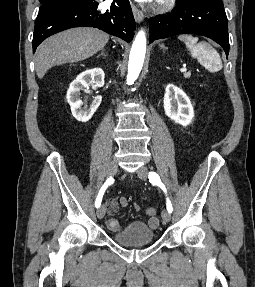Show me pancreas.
Wrapping results in <instances>:
<instances>
[{"label": "pancreas", "mask_w": 255, "mask_h": 287, "mask_svg": "<svg viewBox=\"0 0 255 287\" xmlns=\"http://www.w3.org/2000/svg\"><path fill=\"white\" fill-rule=\"evenodd\" d=\"M184 78H190V72H184Z\"/></svg>", "instance_id": "pancreas-1"}]
</instances>
